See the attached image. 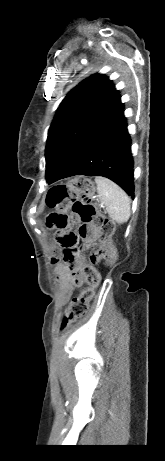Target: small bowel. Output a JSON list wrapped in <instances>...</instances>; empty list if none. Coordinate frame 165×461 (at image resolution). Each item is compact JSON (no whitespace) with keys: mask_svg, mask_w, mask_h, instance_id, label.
<instances>
[{"mask_svg":"<svg viewBox=\"0 0 165 461\" xmlns=\"http://www.w3.org/2000/svg\"><path fill=\"white\" fill-rule=\"evenodd\" d=\"M97 237L96 225H73V229H57V233H52L56 249L64 250L60 251V264L55 268L62 302L67 300L73 287L82 285L84 275L81 266L85 265V258L79 252L85 249V245L90 247Z\"/></svg>","mask_w":165,"mask_h":461,"instance_id":"obj_1","label":"small bowel"}]
</instances>
